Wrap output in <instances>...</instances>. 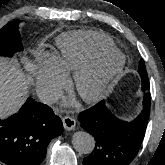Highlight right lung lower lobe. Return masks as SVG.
<instances>
[{
  "label": "right lung lower lobe",
  "mask_w": 165,
  "mask_h": 165,
  "mask_svg": "<svg viewBox=\"0 0 165 165\" xmlns=\"http://www.w3.org/2000/svg\"><path fill=\"white\" fill-rule=\"evenodd\" d=\"M62 132L63 123L53 110L28 98L18 113L0 120V161L8 165H39L50 140Z\"/></svg>",
  "instance_id": "98d812e1"
}]
</instances>
